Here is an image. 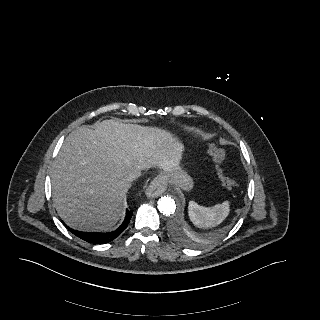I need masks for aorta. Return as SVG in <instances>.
Returning a JSON list of instances; mask_svg holds the SVG:
<instances>
[{"label": "aorta", "instance_id": "obj_1", "mask_svg": "<svg viewBox=\"0 0 320 320\" xmlns=\"http://www.w3.org/2000/svg\"><path fill=\"white\" fill-rule=\"evenodd\" d=\"M158 209L164 215H170L175 212L176 203L173 197L163 196L158 200Z\"/></svg>", "mask_w": 320, "mask_h": 320}]
</instances>
